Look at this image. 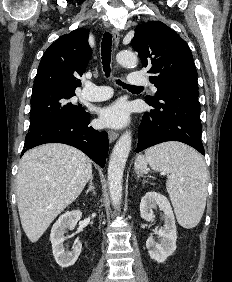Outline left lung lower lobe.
Here are the masks:
<instances>
[{"label": "left lung lower lobe", "mask_w": 232, "mask_h": 282, "mask_svg": "<svg viewBox=\"0 0 232 282\" xmlns=\"http://www.w3.org/2000/svg\"><path fill=\"white\" fill-rule=\"evenodd\" d=\"M143 116L136 152L166 141L186 143L205 155L198 90L168 88Z\"/></svg>", "instance_id": "1"}]
</instances>
